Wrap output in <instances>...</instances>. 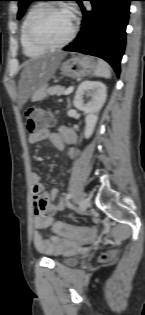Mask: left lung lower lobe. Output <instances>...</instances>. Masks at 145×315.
Here are the masks:
<instances>
[{
  "instance_id": "obj_1",
  "label": "left lung lower lobe",
  "mask_w": 145,
  "mask_h": 315,
  "mask_svg": "<svg viewBox=\"0 0 145 315\" xmlns=\"http://www.w3.org/2000/svg\"><path fill=\"white\" fill-rule=\"evenodd\" d=\"M81 1H77L83 12L81 31L63 50L100 57L119 75L132 0H89L92 10H86Z\"/></svg>"
}]
</instances>
